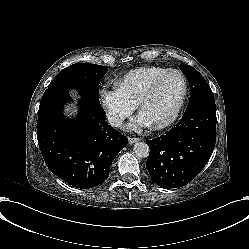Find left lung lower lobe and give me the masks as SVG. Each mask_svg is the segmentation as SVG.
<instances>
[{"mask_svg": "<svg viewBox=\"0 0 249 249\" xmlns=\"http://www.w3.org/2000/svg\"><path fill=\"white\" fill-rule=\"evenodd\" d=\"M215 103L186 110L174 128L146 140L150 154L146 168L160 187L178 188L192 181L208 162L215 146Z\"/></svg>", "mask_w": 249, "mask_h": 249, "instance_id": "0a47b994", "label": "left lung lower lobe"}]
</instances>
